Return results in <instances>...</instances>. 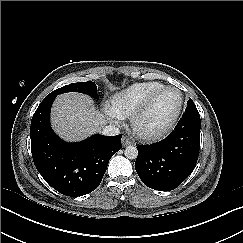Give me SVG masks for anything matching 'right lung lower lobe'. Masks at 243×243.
I'll return each mask as SVG.
<instances>
[{"instance_id":"1","label":"right lung lower lobe","mask_w":243,"mask_h":243,"mask_svg":"<svg viewBox=\"0 0 243 243\" xmlns=\"http://www.w3.org/2000/svg\"><path fill=\"white\" fill-rule=\"evenodd\" d=\"M56 96H46L33 115L30 128L34 164L44 180L71 197L95 190L110 158L122 148L121 134H96L79 143L62 141L50 127V109Z\"/></svg>"}]
</instances>
